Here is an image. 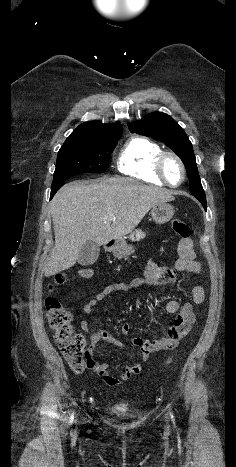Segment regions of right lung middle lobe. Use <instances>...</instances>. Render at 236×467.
<instances>
[{"instance_id": "right-lung-middle-lobe-1", "label": "right lung middle lobe", "mask_w": 236, "mask_h": 467, "mask_svg": "<svg viewBox=\"0 0 236 467\" xmlns=\"http://www.w3.org/2000/svg\"><path fill=\"white\" fill-rule=\"evenodd\" d=\"M118 134H71L57 155L52 185L82 173H103L120 139Z\"/></svg>"}]
</instances>
